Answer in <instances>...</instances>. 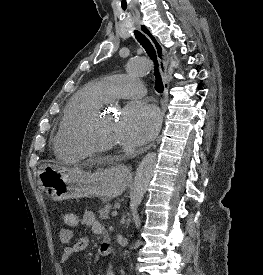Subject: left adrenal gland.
Segmentation results:
<instances>
[{"instance_id": "1", "label": "left adrenal gland", "mask_w": 263, "mask_h": 275, "mask_svg": "<svg viewBox=\"0 0 263 275\" xmlns=\"http://www.w3.org/2000/svg\"><path fill=\"white\" fill-rule=\"evenodd\" d=\"M122 222H125V219H124V217L122 218Z\"/></svg>"}]
</instances>
